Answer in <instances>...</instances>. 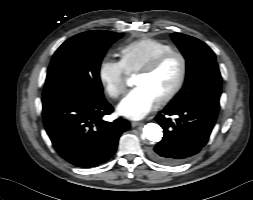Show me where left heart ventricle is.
Returning a JSON list of instances; mask_svg holds the SVG:
<instances>
[{
  "label": "left heart ventricle",
  "mask_w": 253,
  "mask_h": 200,
  "mask_svg": "<svg viewBox=\"0 0 253 200\" xmlns=\"http://www.w3.org/2000/svg\"><path fill=\"white\" fill-rule=\"evenodd\" d=\"M181 71L179 59L171 58L151 75H137L135 85L146 88L159 100L167 94L176 84Z\"/></svg>",
  "instance_id": "obj_1"
}]
</instances>
